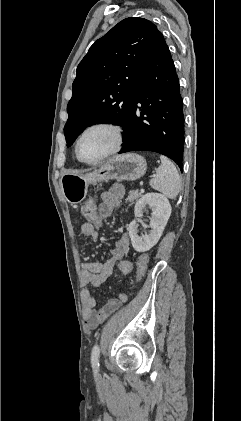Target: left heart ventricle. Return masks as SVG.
<instances>
[{
    "label": "left heart ventricle",
    "mask_w": 241,
    "mask_h": 421,
    "mask_svg": "<svg viewBox=\"0 0 241 421\" xmlns=\"http://www.w3.org/2000/svg\"><path fill=\"white\" fill-rule=\"evenodd\" d=\"M113 134L104 128L89 131L82 138L79 153L84 160H95L106 153L113 145Z\"/></svg>",
    "instance_id": "obj_1"
}]
</instances>
